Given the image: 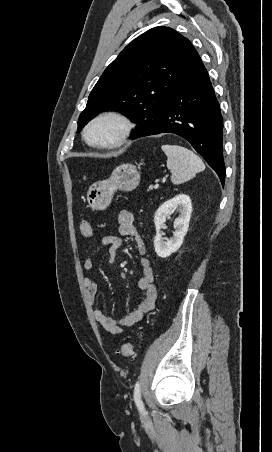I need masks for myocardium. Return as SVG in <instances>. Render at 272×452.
Wrapping results in <instances>:
<instances>
[{
    "label": "myocardium",
    "instance_id": "myocardium-1",
    "mask_svg": "<svg viewBox=\"0 0 272 452\" xmlns=\"http://www.w3.org/2000/svg\"><path fill=\"white\" fill-rule=\"evenodd\" d=\"M102 122H112L117 126V132L114 137L105 142H94L89 139L90 130ZM133 125L131 120L123 113L118 111H104L92 117L83 129V139L85 142L95 148L107 149L121 146L130 136Z\"/></svg>",
    "mask_w": 272,
    "mask_h": 452
}]
</instances>
